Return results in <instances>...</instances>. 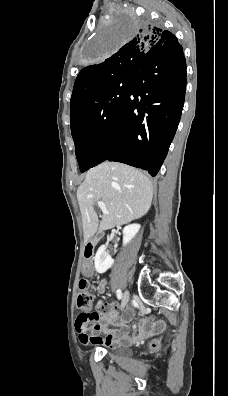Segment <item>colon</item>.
Here are the masks:
<instances>
[{
    "instance_id": "colon-1",
    "label": "colon",
    "mask_w": 228,
    "mask_h": 396,
    "mask_svg": "<svg viewBox=\"0 0 228 396\" xmlns=\"http://www.w3.org/2000/svg\"><path fill=\"white\" fill-rule=\"evenodd\" d=\"M92 302L91 287L88 281L83 279L79 282L77 294V306L81 310V313L77 317V325L85 332L92 328L91 323L96 316V313L92 312ZM154 347L158 348V345L154 344Z\"/></svg>"
}]
</instances>
